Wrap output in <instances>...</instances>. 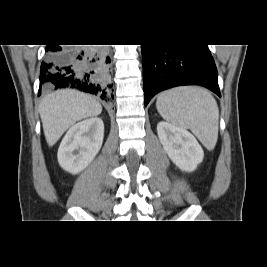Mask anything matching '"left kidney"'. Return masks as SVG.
Returning a JSON list of instances; mask_svg holds the SVG:
<instances>
[{
  "label": "left kidney",
  "instance_id": "5707ae66",
  "mask_svg": "<svg viewBox=\"0 0 267 267\" xmlns=\"http://www.w3.org/2000/svg\"><path fill=\"white\" fill-rule=\"evenodd\" d=\"M157 133L165 152L182 171L192 172L203 161L202 147L186 129L162 121Z\"/></svg>",
  "mask_w": 267,
  "mask_h": 267
}]
</instances>
